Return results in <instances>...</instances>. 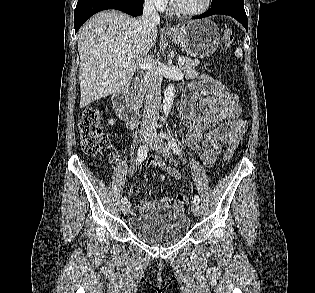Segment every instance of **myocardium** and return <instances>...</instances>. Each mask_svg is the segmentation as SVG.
I'll list each match as a JSON object with an SVG mask.
<instances>
[{
	"mask_svg": "<svg viewBox=\"0 0 315 293\" xmlns=\"http://www.w3.org/2000/svg\"><path fill=\"white\" fill-rule=\"evenodd\" d=\"M172 2V8L173 10L180 14V15H184V16H198L201 15L203 13H205L211 6L212 4V0H205L204 5L197 10H186L184 8H182L177 0H171Z\"/></svg>",
	"mask_w": 315,
	"mask_h": 293,
	"instance_id": "f54148a6",
	"label": "myocardium"
}]
</instances>
